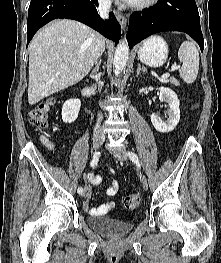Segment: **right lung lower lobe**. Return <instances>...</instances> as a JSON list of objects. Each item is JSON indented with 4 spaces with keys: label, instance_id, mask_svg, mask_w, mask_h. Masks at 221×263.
Returning <instances> with one entry per match:
<instances>
[{
    "label": "right lung lower lobe",
    "instance_id": "obj_1",
    "mask_svg": "<svg viewBox=\"0 0 221 263\" xmlns=\"http://www.w3.org/2000/svg\"><path fill=\"white\" fill-rule=\"evenodd\" d=\"M96 6L97 0H31L28 9L27 44L39 28L56 18L80 21L117 43L121 37L118 21L112 12V18L102 20Z\"/></svg>",
    "mask_w": 221,
    "mask_h": 263
}]
</instances>
